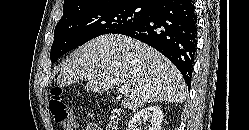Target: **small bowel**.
I'll return each mask as SVG.
<instances>
[{"label":"small bowel","instance_id":"1","mask_svg":"<svg viewBox=\"0 0 249 130\" xmlns=\"http://www.w3.org/2000/svg\"><path fill=\"white\" fill-rule=\"evenodd\" d=\"M84 130H103V129L95 124H89L84 128Z\"/></svg>","mask_w":249,"mask_h":130}]
</instances>
